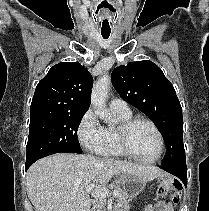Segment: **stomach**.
<instances>
[{"instance_id":"stomach-1","label":"stomach","mask_w":209,"mask_h":211,"mask_svg":"<svg viewBox=\"0 0 209 211\" xmlns=\"http://www.w3.org/2000/svg\"><path fill=\"white\" fill-rule=\"evenodd\" d=\"M119 185L128 199L137 197L145 188V182L129 174L119 178Z\"/></svg>"}]
</instances>
